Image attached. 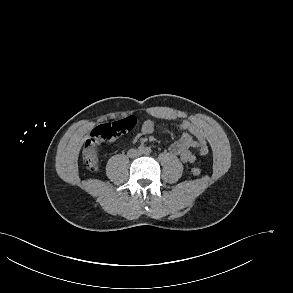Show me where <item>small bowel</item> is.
Segmentation results:
<instances>
[{
    "label": "small bowel",
    "instance_id": "c3829d8e",
    "mask_svg": "<svg viewBox=\"0 0 293 293\" xmlns=\"http://www.w3.org/2000/svg\"><path fill=\"white\" fill-rule=\"evenodd\" d=\"M158 126L154 120H147L143 123L141 134L148 135L153 133ZM178 130L183 132L179 140L174 142L170 147V152L178 156L185 164L193 165L199 162L198 158L191 152L196 148L201 156L208 153V146L205 140L204 131L191 121H183ZM137 137L134 139V141Z\"/></svg>",
    "mask_w": 293,
    "mask_h": 293
}]
</instances>
